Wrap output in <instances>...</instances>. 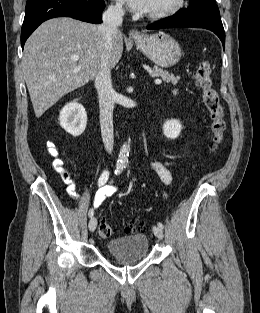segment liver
Instances as JSON below:
<instances>
[{"mask_svg":"<svg viewBox=\"0 0 260 313\" xmlns=\"http://www.w3.org/2000/svg\"><path fill=\"white\" fill-rule=\"evenodd\" d=\"M101 41L99 25L69 17L45 21L27 39L22 71L37 118L96 76L103 52ZM122 52L123 36L118 30L112 42L110 69ZM75 56L79 60H73Z\"/></svg>","mask_w":260,"mask_h":313,"instance_id":"obj_1","label":"liver"}]
</instances>
